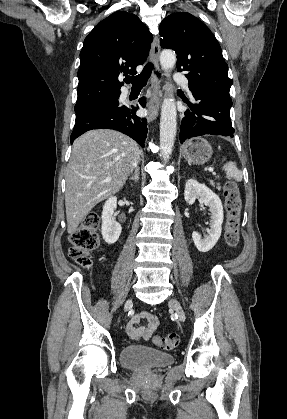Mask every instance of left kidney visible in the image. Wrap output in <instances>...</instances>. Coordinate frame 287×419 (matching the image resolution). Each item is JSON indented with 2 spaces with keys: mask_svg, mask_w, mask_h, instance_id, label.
Segmentation results:
<instances>
[{
  "mask_svg": "<svg viewBox=\"0 0 287 419\" xmlns=\"http://www.w3.org/2000/svg\"><path fill=\"white\" fill-rule=\"evenodd\" d=\"M184 198L189 205H192L197 198H200L209 207L211 212V228L208 234L202 238L198 232L194 231L192 233V239L196 248L200 252H208L215 246L221 236L223 223L222 202L217 194L194 179H189L186 182Z\"/></svg>",
  "mask_w": 287,
  "mask_h": 419,
  "instance_id": "1",
  "label": "left kidney"
}]
</instances>
